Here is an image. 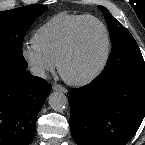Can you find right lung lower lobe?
I'll use <instances>...</instances> for the list:
<instances>
[{"instance_id":"98d812e1","label":"right lung lower lobe","mask_w":145,"mask_h":145,"mask_svg":"<svg viewBox=\"0 0 145 145\" xmlns=\"http://www.w3.org/2000/svg\"><path fill=\"white\" fill-rule=\"evenodd\" d=\"M50 85L27 70L0 76V145H29Z\"/></svg>"}]
</instances>
